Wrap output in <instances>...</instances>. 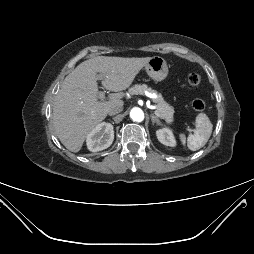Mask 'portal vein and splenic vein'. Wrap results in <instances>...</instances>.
<instances>
[{
  "instance_id": "obj_1",
  "label": "portal vein and splenic vein",
  "mask_w": 254,
  "mask_h": 254,
  "mask_svg": "<svg viewBox=\"0 0 254 254\" xmlns=\"http://www.w3.org/2000/svg\"><path fill=\"white\" fill-rule=\"evenodd\" d=\"M98 78H99V79H103L102 75H99ZM98 98H99L100 100H104V98H105V93H104V92H99ZM155 114H156L157 116L160 117V114H159V112H158L157 110L155 111ZM188 130H189L190 132L192 131V129L189 128V127H188Z\"/></svg>"
}]
</instances>
